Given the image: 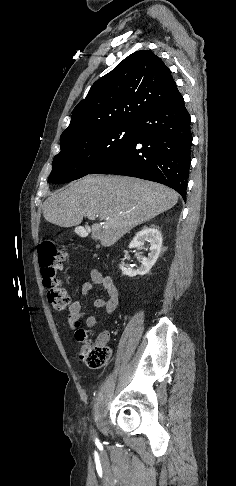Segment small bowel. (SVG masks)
Segmentation results:
<instances>
[{
	"label": "small bowel",
	"mask_w": 236,
	"mask_h": 486,
	"mask_svg": "<svg viewBox=\"0 0 236 486\" xmlns=\"http://www.w3.org/2000/svg\"><path fill=\"white\" fill-rule=\"evenodd\" d=\"M90 282L82 285V294L89 295L96 287L106 293L104 298H97L93 302L95 308L104 309L106 315L112 314L118 306L119 292L110 276L103 275L98 269L90 271ZM85 311L81 301H74L68 309V325L70 330L75 331L79 320L85 316ZM98 322V317L90 315L86 318V326L94 328ZM109 339L108 331H102L97 336V342L106 343Z\"/></svg>",
	"instance_id": "small-bowel-1"
}]
</instances>
